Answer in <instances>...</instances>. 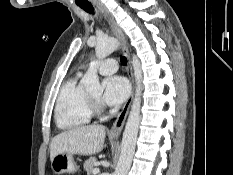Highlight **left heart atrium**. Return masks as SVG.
I'll list each match as a JSON object with an SVG mask.
<instances>
[{
  "instance_id": "1",
  "label": "left heart atrium",
  "mask_w": 233,
  "mask_h": 175,
  "mask_svg": "<svg viewBox=\"0 0 233 175\" xmlns=\"http://www.w3.org/2000/svg\"><path fill=\"white\" fill-rule=\"evenodd\" d=\"M129 92V84L122 76H110L104 80L103 101L108 105L122 104L127 99Z\"/></svg>"
}]
</instances>
